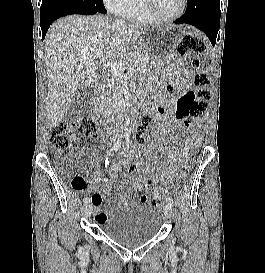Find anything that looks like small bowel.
Here are the masks:
<instances>
[{"mask_svg":"<svg viewBox=\"0 0 265 273\" xmlns=\"http://www.w3.org/2000/svg\"><path fill=\"white\" fill-rule=\"evenodd\" d=\"M175 61L178 66L181 64V59L176 58ZM175 81L181 90H188L191 87V84L189 83L188 75L180 69H178L176 72ZM175 100H176L175 96H164L161 98L156 108V112L159 115H161L162 119L158 127L155 128L152 132L154 136H169L170 139L173 140V136L170 133V129H169L171 115L166 111V108L172 105L175 102ZM196 136L198 135L196 134ZM199 141H200V138H199ZM160 154H165L168 157L170 168L175 167L176 160H177V152L172 146H165L158 151L147 152V155L150 157H157ZM126 157L129 159L131 155L128 153L126 154ZM91 162L93 164H97V160L94 158L91 159ZM151 169L152 168L149 165L143 166L142 174L136 175L132 180V191L135 194H139V198H140V199H136V204H148V199L144 195V191L142 188V180H143L142 177L150 173ZM121 171H122V166L120 164H113L110 167L108 178L104 179V182L105 183L112 182L119 176ZM155 173L157 177L163 178V174L159 170H156ZM81 180L83 181V186L86 184H90L89 182H85L83 178H81ZM90 202H91V205H93L96 210V215H95L96 221L99 223L104 221L107 218V215L105 213L100 212L99 210L102 203V195L99 193L92 194L90 198ZM127 202L128 201L126 197L121 196L119 198L118 204L121 207H125L127 205Z\"/></svg>","mask_w":265,"mask_h":273,"instance_id":"c3829d8e","label":"small bowel"}]
</instances>
